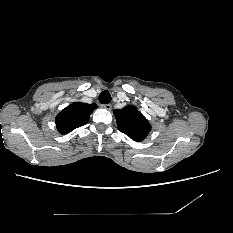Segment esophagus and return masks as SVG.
Here are the masks:
<instances>
[{"instance_id": "esophagus-1", "label": "esophagus", "mask_w": 233, "mask_h": 233, "mask_svg": "<svg viewBox=\"0 0 233 233\" xmlns=\"http://www.w3.org/2000/svg\"><path fill=\"white\" fill-rule=\"evenodd\" d=\"M101 108L106 109V110H111L112 106L111 104H102Z\"/></svg>"}]
</instances>
